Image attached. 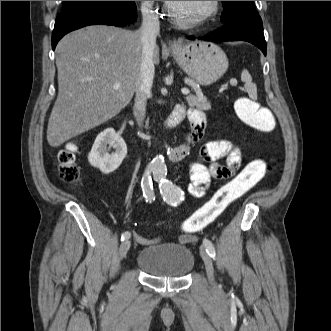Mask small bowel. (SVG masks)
<instances>
[{
  "mask_svg": "<svg viewBox=\"0 0 331 331\" xmlns=\"http://www.w3.org/2000/svg\"><path fill=\"white\" fill-rule=\"evenodd\" d=\"M185 113V109L180 106ZM191 125L190 132L185 136L184 142L172 148L168 154L171 162H180L189 154L191 146L198 143L204 136L206 129V116L197 108L187 110ZM225 159V163L219 160ZM242 165L241 150L227 140H216L205 143L199 150L198 158L190 165L189 193L194 197L205 194L211 179L228 180L240 172ZM139 243L145 244L155 240H148L135 234Z\"/></svg>",
  "mask_w": 331,
  "mask_h": 331,
  "instance_id": "1",
  "label": "small bowel"
}]
</instances>
